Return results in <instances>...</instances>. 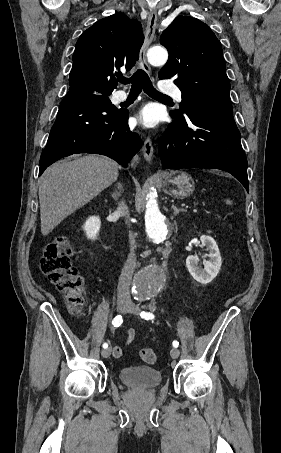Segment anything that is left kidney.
Segmentation results:
<instances>
[{
	"instance_id": "1",
	"label": "left kidney",
	"mask_w": 281,
	"mask_h": 453,
	"mask_svg": "<svg viewBox=\"0 0 281 453\" xmlns=\"http://www.w3.org/2000/svg\"><path fill=\"white\" fill-rule=\"evenodd\" d=\"M200 241L202 243V247H206L209 251V261H205L204 269H200V267H198V257L189 255L186 259V267L195 281L202 283V285H207V283H211V281L215 279L217 273H219L222 261L218 245L212 237L202 235V237H200Z\"/></svg>"
}]
</instances>
